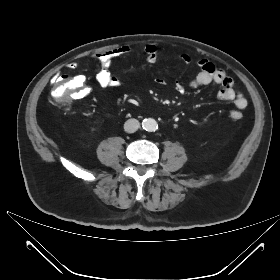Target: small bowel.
Here are the masks:
<instances>
[{"label":"small bowel","mask_w":280,"mask_h":280,"mask_svg":"<svg viewBox=\"0 0 280 280\" xmlns=\"http://www.w3.org/2000/svg\"><path fill=\"white\" fill-rule=\"evenodd\" d=\"M145 52L146 61L148 63H155L158 61L160 55L156 46H147ZM132 53L133 49L130 46L125 45L96 54L95 59L100 64V67L95 74L96 82L103 88L121 87L124 83L123 80L111 73L110 66L115 59L129 57ZM180 57L185 63L191 62V58L186 54H182ZM77 66V63L75 62L68 64V68L70 70H76ZM198 66L200 68V72L189 81L187 86L189 88H198L212 83L219 85L220 89L217 92V97L222 101L232 102L236 107V110L232 111L230 114L231 118L234 119V115L236 113H239L242 116V111L247 107L248 101L241 92L235 90L232 78L228 76L224 70L216 67L213 63L206 59L199 60ZM159 82L161 83L163 81L159 80ZM83 84H85V80ZM88 89L89 94V86ZM176 89L179 92H183L185 90V85L178 83L176 85Z\"/></svg>","instance_id":"small-bowel-1"}]
</instances>
